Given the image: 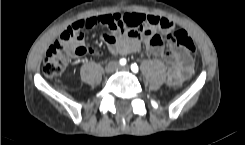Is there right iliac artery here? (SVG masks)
<instances>
[{
  "label": "right iliac artery",
  "instance_id": "obj_1",
  "mask_svg": "<svg viewBox=\"0 0 245 145\" xmlns=\"http://www.w3.org/2000/svg\"><path fill=\"white\" fill-rule=\"evenodd\" d=\"M126 64V59H124V58H122L121 60H120V65H125Z\"/></svg>",
  "mask_w": 245,
  "mask_h": 145
}]
</instances>
